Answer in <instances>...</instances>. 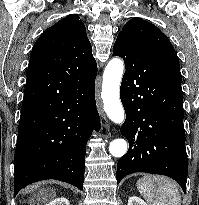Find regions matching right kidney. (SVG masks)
<instances>
[{"mask_svg":"<svg viewBox=\"0 0 199 205\" xmlns=\"http://www.w3.org/2000/svg\"><path fill=\"white\" fill-rule=\"evenodd\" d=\"M46 205H70V203L66 198L61 197V198H56L52 200Z\"/></svg>","mask_w":199,"mask_h":205,"instance_id":"right-kidney-1","label":"right kidney"}]
</instances>
